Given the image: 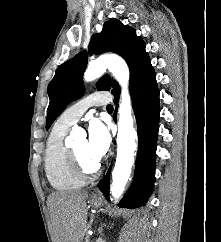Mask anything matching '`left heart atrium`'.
I'll return each instance as SVG.
<instances>
[{
	"label": "left heart atrium",
	"mask_w": 221,
	"mask_h": 242,
	"mask_svg": "<svg viewBox=\"0 0 221 242\" xmlns=\"http://www.w3.org/2000/svg\"><path fill=\"white\" fill-rule=\"evenodd\" d=\"M110 133L107 126L98 119H93L88 125V153L90 158L98 161L106 154L110 146Z\"/></svg>",
	"instance_id": "left-heart-atrium-1"
}]
</instances>
